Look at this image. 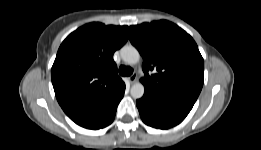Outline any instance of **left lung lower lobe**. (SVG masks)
I'll use <instances>...</instances> for the list:
<instances>
[{
  "instance_id": "obj_1",
  "label": "left lung lower lobe",
  "mask_w": 261,
  "mask_h": 150,
  "mask_svg": "<svg viewBox=\"0 0 261 150\" xmlns=\"http://www.w3.org/2000/svg\"><path fill=\"white\" fill-rule=\"evenodd\" d=\"M194 103L176 95L147 90L136 101L143 122L158 129H168L182 122Z\"/></svg>"
}]
</instances>
